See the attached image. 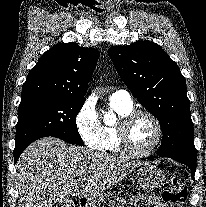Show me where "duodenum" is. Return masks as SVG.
<instances>
[{
	"label": "duodenum",
	"mask_w": 206,
	"mask_h": 207,
	"mask_svg": "<svg viewBox=\"0 0 206 207\" xmlns=\"http://www.w3.org/2000/svg\"><path fill=\"white\" fill-rule=\"evenodd\" d=\"M83 199H81L80 201H78L77 203H75L76 207H85V205L83 204ZM87 205V203H86Z\"/></svg>",
	"instance_id": "1"
}]
</instances>
